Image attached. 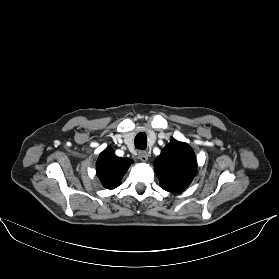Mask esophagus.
Instances as JSON below:
<instances>
[{
    "mask_svg": "<svg viewBox=\"0 0 279 279\" xmlns=\"http://www.w3.org/2000/svg\"><path fill=\"white\" fill-rule=\"evenodd\" d=\"M138 158L142 161V162H146L148 160V153L145 151H141L138 154Z\"/></svg>",
    "mask_w": 279,
    "mask_h": 279,
    "instance_id": "obj_1",
    "label": "esophagus"
}]
</instances>
